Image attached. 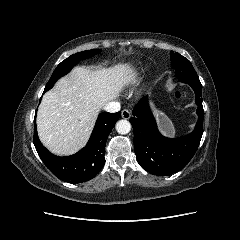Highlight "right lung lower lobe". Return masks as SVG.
Returning <instances> with one entry per match:
<instances>
[{"mask_svg": "<svg viewBox=\"0 0 240 240\" xmlns=\"http://www.w3.org/2000/svg\"><path fill=\"white\" fill-rule=\"evenodd\" d=\"M121 112L99 114L87 145L68 157L51 154L40 142L34 119L33 142L41 160L58 178L70 183H81L94 178L105 163V146L108 135L118 121Z\"/></svg>", "mask_w": 240, "mask_h": 240, "instance_id": "obj_1", "label": "right lung lower lobe"}]
</instances>
